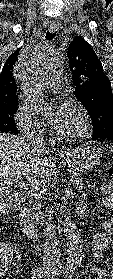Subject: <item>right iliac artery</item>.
<instances>
[{"instance_id": "1", "label": "right iliac artery", "mask_w": 113, "mask_h": 279, "mask_svg": "<svg viewBox=\"0 0 113 279\" xmlns=\"http://www.w3.org/2000/svg\"><path fill=\"white\" fill-rule=\"evenodd\" d=\"M43 277L41 268L32 271L31 279H41Z\"/></svg>"}]
</instances>
